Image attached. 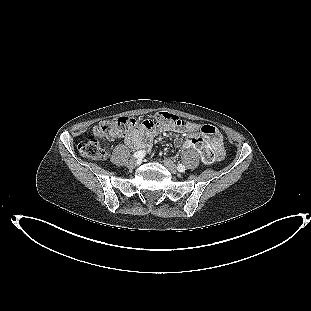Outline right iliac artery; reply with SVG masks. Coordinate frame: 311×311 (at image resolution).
I'll use <instances>...</instances> for the list:
<instances>
[{"label": "right iliac artery", "mask_w": 311, "mask_h": 311, "mask_svg": "<svg viewBox=\"0 0 311 311\" xmlns=\"http://www.w3.org/2000/svg\"><path fill=\"white\" fill-rule=\"evenodd\" d=\"M145 156V152L144 151H137L133 154V157L137 158V159H141Z\"/></svg>", "instance_id": "1"}]
</instances>
